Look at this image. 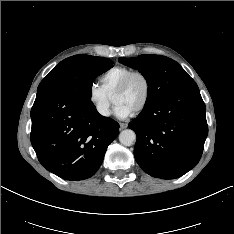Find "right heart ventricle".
Listing matches in <instances>:
<instances>
[{"instance_id":"e07e8e85","label":"right heart ventricle","mask_w":234,"mask_h":234,"mask_svg":"<svg viewBox=\"0 0 234 234\" xmlns=\"http://www.w3.org/2000/svg\"><path fill=\"white\" fill-rule=\"evenodd\" d=\"M134 70L125 66H113L106 70L99 78L100 87L112 97L116 88Z\"/></svg>"}]
</instances>
